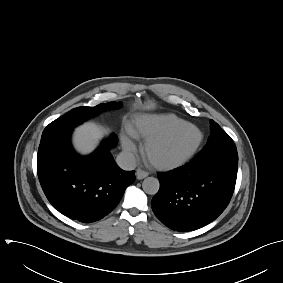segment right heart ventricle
<instances>
[{"mask_svg":"<svg viewBox=\"0 0 283 283\" xmlns=\"http://www.w3.org/2000/svg\"><path fill=\"white\" fill-rule=\"evenodd\" d=\"M183 121L176 115L169 113L142 114L127 124V132L134 139L147 140Z\"/></svg>","mask_w":283,"mask_h":283,"instance_id":"1","label":"right heart ventricle"}]
</instances>
